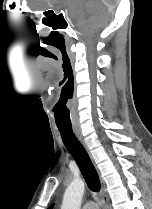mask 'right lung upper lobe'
<instances>
[{"instance_id":"obj_1","label":"right lung upper lobe","mask_w":152,"mask_h":209,"mask_svg":"<svg viewBox=\"0 0 152 209\" xmlns=\"http://www.w3.org/2000/svg\"><path fill=\"white\" fill-rule=\"evenodd\" d=\"M53 205H51L48 209H52Z\"/></svg>"}]
</instances>
